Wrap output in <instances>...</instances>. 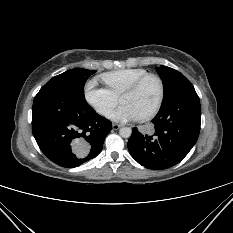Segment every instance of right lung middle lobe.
I'll list each match as a JSON object with an SVG mask.
<instances>
[{"label":"right lung middle lobe","mask_w":233,"mask_h":233,"mask_svg":"<svg viewBox=\"0 0 233 233\" xmlns=\"http://www.w3.org/2000/svg\"><path fill=\"white\" fill-rule=\"evenodd\" d=\"M95 72L93 70L74 68L53 77L46 85L60 86L84 98L85 82Z\"/></svg>","instance_id":"obj_1"}]
</instances>
